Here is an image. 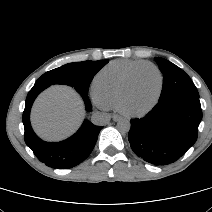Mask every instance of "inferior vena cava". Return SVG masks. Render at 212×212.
Returning <instances> with one entry per match:
<instances>
[{
    "label": "inferior vena cava",
    "mask_w": 212,
    "mask_h": 212,
    "mask_svg": "<svg viewBox=\"0 0 212 212\" xmlns=\"http://www.w3.org/2000/svg\"><path fill=\"white\" fill-rule=\"evenodd\" d=\"M91 120L96 125H104L110 120V116L103 112H94L92 114Z\"/></svg>",
    "instance_id": "obj_1"
}]
</instances>
